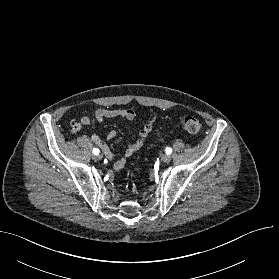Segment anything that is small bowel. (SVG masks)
<instances>
[{
	"label": "small bowel",
	"mask_w": 279,
	"mask_h": 279,
	"mask_svg": "<svg viewBox=\"0 0 279 279\" xmlns=\"http://www.w3.org/2000/svg\"><path fill=\"white\" fill-rule=\"evenodd\" d=\"M136 114L132 109H104L100 108L97 109L92 117L84 116L82 117L81 121L78 123L73 124V131L78 132L82 128L83 125H91L92 127L95 126L96 122H103L107 119L113 118H125L127 120H133ZM157 118V113H152L144 122L143 126L140 128L138 132V137L132 141H129L126 144L124 156L120 159L116 160L114 163V169L119 171L121 170L126 163V159L132 156L136 151H138L143 144L145 143L146 139L148 138L149 134L153 129V125L155 119ZM116 137V131L110 130L107 133V140H112ZM91 140L94 144H96L105 154V156L109 159H114L115 154L111 151L106 141L101 139L97 134L91 135Z\"/></svg>",
	"instance_id": "obj_1"
}]
</instances>
